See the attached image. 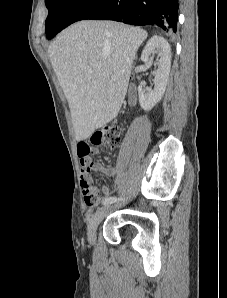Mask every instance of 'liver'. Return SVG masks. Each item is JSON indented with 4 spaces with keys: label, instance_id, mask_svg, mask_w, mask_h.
<instances>
[{
    "label": "liver",
    "instance_id": "1",
    "mask_svg": "<svg viewBox=\"0 0 227 298\" xmlns=\"http://www.w3.org/2000/svg\"><path fill=\"white\" fill-rule=\"evenodd\" d=\"M146 38L147 32L138 27L82 20L50 45V61L69 103L77 141L117 117L133 60Z\"/></svg>",
    "mask_w": 227,
    "mask_h": 298
}]
</instances>
